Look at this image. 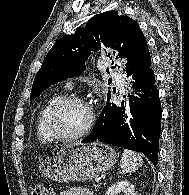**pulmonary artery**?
<instances>
[{"instance_id": "pulmonary-artery-1", "label": "pulmonary artery", "mask_w": 189, "mask_h": 195, "mask_svg": "<svg viewBox=\"0 0 189 195\" xmlns=\"http://www.w3.org/2000/svg\"><path fill=\"white\" fill-rule=\"evenodd\" d=\"M118 82H119V83H121V80H118ZM67 87H69V88H70V87H71V85H70V84H68V86H67Z\"/></svg>"}]
</instances>
